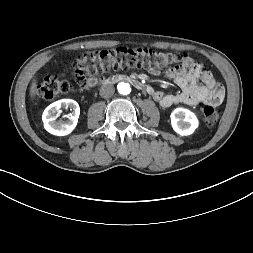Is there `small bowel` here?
Returning <instances> with one entry per match:
<instances>
[{
	"mask_svg": "<svg viewBox=\"0 0 253 253\" xmlns=\"http://www.w3.org/2000/svg\"><path fill=\"white\" fill-rule=\"evenodd\" d=\"M147 73L152 76H163L166 73L167 77L180 88V92L174 94L153 90L151 94L153 99L163 108L179 104L219 105L225 97L222 85L216 81L214 76L189 57L178 64H168L165 68L149 66Z\"/></svg>",
	"mask_w": 253,
	"mask_h": 253,
	"instance_id": "obj_1",
	"label": "small bowel"
}]
</instances>
